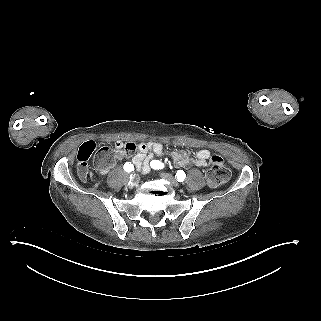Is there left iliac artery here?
Returning <instances> with one entry per match:
<instances>
[{"mask_svg":"<svg viewBox=\"0 0 321 321\" xmlns=\"http://www.w3.org/2000/svg\"><path fill=\"white\" fill-rule=\"evenodd\" d=\"M151 166L154 168V169H161L163 168V164L157 160H154L151 162ZM175 177L177 178L178 182H182L184 181L185 177H186V174L184 173V171L182 170H179L177 171Z\"/></svg>","mask_w":321,"mask_h":321,"instance_id":"left-iliac-artery-1","label":"left iliac artery"}]
</instances>
